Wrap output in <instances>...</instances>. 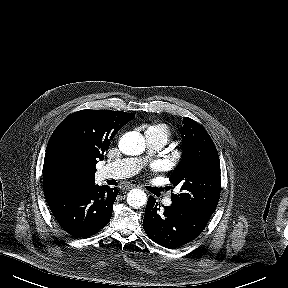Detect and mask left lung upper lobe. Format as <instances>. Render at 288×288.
Here are the masks:
<instances>
[{"label": "left lung upper lobe", "instance_id": "obj_1", "mask_svg": "<svg viewBox=\"0 0 288 288\" xmlns=\"http://www.w3.org/2000/svg\"><path fill=\"white\" fill-rule=\"evenodd\" d=\"M183 154L170 176L181 193L172 202L212 215L220 197V162L217 149L207 131L194 120L184 117L181 129Z\"/></svg>", "mask_w": 288, "mask_h": 288}]
</instances>
